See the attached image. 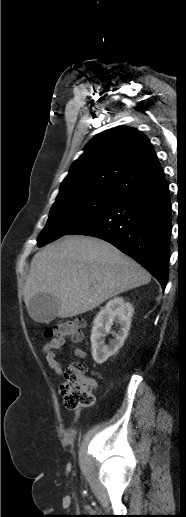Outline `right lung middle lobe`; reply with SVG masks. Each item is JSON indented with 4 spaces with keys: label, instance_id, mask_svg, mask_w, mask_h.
I'll return each mask as SVG.
<instances>
[{
    "label": "right lung middle lobe",
    "instance_id": "1",
    "mask_svg": "<svg viewBox=\"0 0 186 517\" xmlns=\"http://www.w3.org/2000/svg\"><path fill=\"white\" fill-rule=\"evenodd\" d=\"M119 197L78 194L57 198L46 226L38 237V246L52 242L113 205Z\"/></svg>",
    "mask_w": 186,
    "mask_h": 517
}]
</instances>
